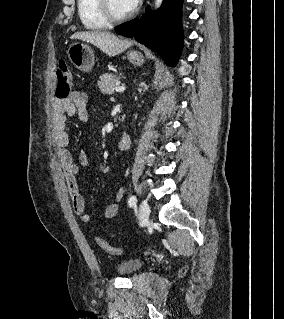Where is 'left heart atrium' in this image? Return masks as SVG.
<instances>
[{"instance_id":"left-heart-atrium-1","label":"left heart atrium","mask_w":284,"mask_h":319,"mask_svg":"<svg viewBox=\"0 0 284 319\" xmlns=\"http://www.w3.org/2000/svg\"><path fill=\"white\" fill-rule=\"evenodd\" d=\"M139 1L140 0H125L126 5L130 11L134 10L137 7Z\"/></svg>"}]
</instances>
